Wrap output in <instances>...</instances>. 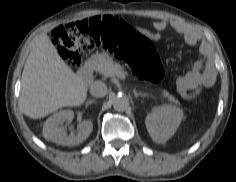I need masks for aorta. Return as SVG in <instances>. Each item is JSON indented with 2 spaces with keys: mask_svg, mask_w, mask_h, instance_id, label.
Returning <instances> with one entry per match:
<instances>
[{
  "mask_svg": "<svg viewBox=\"0 0 236 182\" xmlns=\"http://www.w3.org/2000/svg\"><path fill=\"white\" fill-rule=\"evenodd\" d=\"M129 106V100L125 95H117L113 98V107L116 111H125Z\"/></svg>",
  "mask_w": 236,
  "mask_h": 182,
  "instance_id": "762f6f07",
  "label": "aorta"
}]
</instances>
